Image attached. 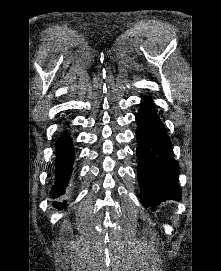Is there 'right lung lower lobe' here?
<instances>
[{
    "mask_svg": "<svg viewBox=\"0 0 221 271\" xmlns=\"http://www.w3.org/2000/svg\"><path fill=\"white\" fill-rule=\"evenodd\" d=\"M75 153L71 137L68 132L63 131L56 144V161L54 168L55 183L52 188L51 197L57 198L64 194L65 187L68 185ZM66 201L54 202L53 205L59 209L65 208Z\"/></svg>",
    "mask_w": 221,
    "mask_h": 271,
    "instance_id": "1",
    "label": "right lung lower lobe"
}]
</instances>
